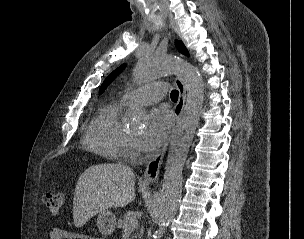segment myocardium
Returning <instances> with one entry per match:
<instances>
[{"instance_id": "obj_1", "label": "myocardium", "mask_w": 304, "mask_h": 239, "mask_svg": "<svg viewBox=\"0 0 304 239\" xmlns=\"http://www.w3.org/2000/svg\"><path fill=\"white\" fill-rule=\"evenodd\" d=\"M134 145H135V139L131 135L126 134L125 149L128 152L133 153Z\"/></svg>"}]
</instances>
